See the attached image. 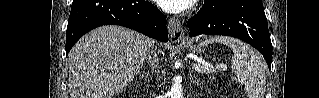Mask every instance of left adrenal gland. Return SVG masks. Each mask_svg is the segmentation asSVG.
<instances>
[{"label":"left adrenal gland","mask_w":319,"mask_h":98,"mask_svg":"<svg viewBox=\"0 0 319 98\" xmlns=\"http://www.w3.org/2000/svg\"><path fill=\"white\" fill-rule=\"evenodd\" d=\"M189 78H190V81L193 82V83H196L197 85L199 84V80H196L193 75H192V70H189Z\"/></svg>","instance_id":"obj_1"}]
</instances>
